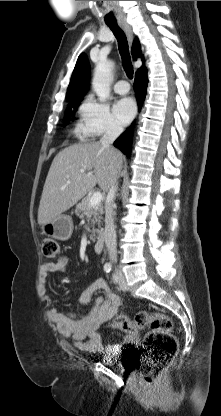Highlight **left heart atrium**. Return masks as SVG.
I'll return each instance as SVG.
<instances>
[{
  "label": "left heart atrium",
  "mask_w": 221,
  "mask_h": 416,
  "mask_svg": "<svg viewBox=\"0 0 221 416\" xmlns=\"http://www.w3.org/2000/svg\"><path fill=\"white\" fill-rule=\"evenodd\" d=\"M114 113L121 124H128L136 113L135 102L128 97L119 99L114 105Z\"/></svg>",
  "instance_id": "39dd6f15"
}]
</instances>
